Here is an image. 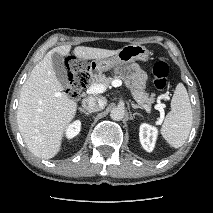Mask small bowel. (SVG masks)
Wrapping results in <instances>:
<instances>
[{
    "label": "small bowel",
    "mask_w": 213,
    "mask_h": 213,
    "mask_svg": "<svg viewBox=\"0 0 213 213\" xmlns=\"http://www.w3.org/2000/svg\"><path fill=\"white\" fill-rule=\"evenodd\" d=\"M131 79L138 87H143L146 81V73L138 66L131 65L128 67Z\"/></svg>",
    "instance_id": "obj_1"
}]
</instances>
